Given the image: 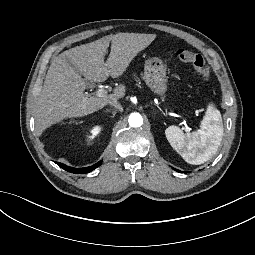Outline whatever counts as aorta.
I'll list each match as a JSON object with an SVG mask.
<instances>
[{"mask_svg":"<svg viewBox=\"0 0 255 255\" xmlns=\"http://www.w3.org/2000/svg\"><path fill=\"white\" fill-rule=\"evenodd\" d=\"M129 125L131 127H140L143 124V118L139 113H132L129 116Z\"/></svg>","mask_w":255,"mask_h":255,"instance_id":"1","label":"aorta"}]
</instances>
